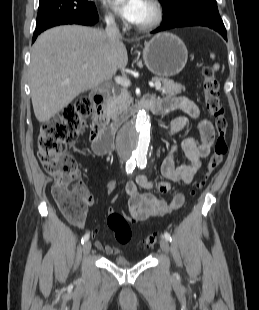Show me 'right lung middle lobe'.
<instances>
[{
	"mask_svg": "<svg viewBox=\"0 0 259 310\" xmlns=\"http://www.w3.org/2000/svg\"><path fill=\"white\" fill-rule=\"evenodd\" d=\"M96 12L88 0H39L36 29L57 18L78 20Z\"/></svg>",
	"mask_w": 259,
	"mask_h": 310,
	"instance_id": "right-lung-middle-lobe-1",
	"label": "right lung middle lobe"
}]
</instances>
